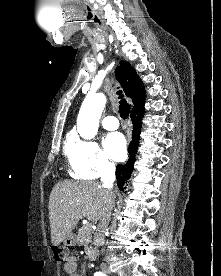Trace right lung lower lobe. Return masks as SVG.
Masks as SVG:
<instances>
[{
  "label": "right lung lower lobe",
  "instance_id": "right-lung-lower-lobe-1",
  "mask_svg": "<svg viewBox=\"0 0 221 276\" xmlns=\"http://www.w3.org/2000/svg\"><path fill=\"white\" fill-rule=\"evenodd\" d=\"M143 116H144V107L131 111V114H130V117L132 119V124H133L132 141L128 149L130 158L125 165L116 166L117 184L120 190L122 191H124L125 184L127 183V180L130 178L134 170V162L136 160L135 154L137 153V148L139 144L140 132H141V121Z\"/></svg>",
  "mask_w": 221,
  "mask_h": 276
}]
</instances>
